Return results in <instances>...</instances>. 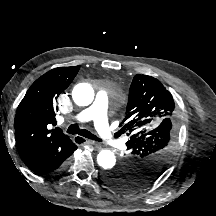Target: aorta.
I'll use <instances>...</instances> for the list:
<instances>
[{"label": "aorta", "instance_id": "aorta-1", "mask_svg": "<svg viewBox=\"0 0 216 216\" xmlns=\"http://www.w3.org/2000/svg\"><path fill=\"white\" fill-rule=\"evenodd\" d=\"M72 98L79 106H88L94 99V90L87 83H81L74 87L72 91ZM98 165L105 169H112L116 163L115 154L110 150H101L97 155Z\"/></svg>", "mask_w": 216, "mask_h": 216}]
</instances>
